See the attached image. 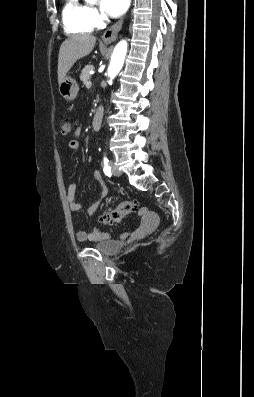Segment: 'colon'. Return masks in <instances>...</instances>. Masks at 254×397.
<instances>
[{
  "mask_svg": "<svg viewBox=\"0 0 254 397\" xmlns=\"http://www.w3.org/2000/svg\"><path fill=\"white\" fill-rule=\"evenodd\" d=\"M60 131L62 135H68L71 131V123L67 119L60 121ZM138 202L133 199L122 201L115 208L105 211L100 220L105 225H113L120 222L125 216L138 210Z\"/></svg>",
  "mask_w": 254,
  "mask_h": 397,
  "instance_id": "obj_1",
  "label": "colon"
}]
</instances>
